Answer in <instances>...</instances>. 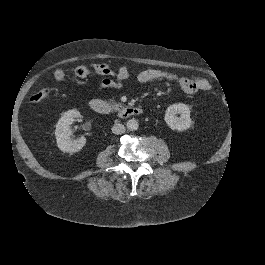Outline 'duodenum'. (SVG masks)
<instances>
[{"instance_id": "duodenum-1", "label": "duodenum", "mask_w": 265, "mask_h": 265, "mask_svg": "<svg viewBox=\"0 0 265 265\" xmlns=\"http://www.w3.org/2000/svg\"><path fill=\"white\" fill-rule=\"evenodd\" d=\"M90 108L99 114L103 115L116 114L120 118L134 117L141 115L143 113L142 108L137 106H129L121 109H115L112 105L101 99H92L90 101Z\"/></svg>"}]
</instances>
